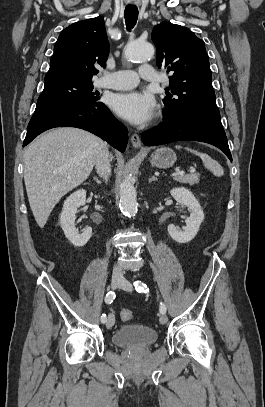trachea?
I'll use <instances>...</instances> for the list:
<instances>
[{"label": "trachea", "instance_id": "trachea-1", "mask_svg": "<svg viewBox=\"0 0 265 407\" xmlns=\"http://www.w3.org/2000/svg\"><path fill=\"white\" fill-rule=\"evenodd\" d=\"M124 16H125V23H126L127 29L131 30L137 22V18H138L137 7L127 6L124 11Z\"/></svg>", "mask_w": 265, "mask_h": 407}]
</instances>
